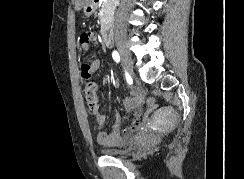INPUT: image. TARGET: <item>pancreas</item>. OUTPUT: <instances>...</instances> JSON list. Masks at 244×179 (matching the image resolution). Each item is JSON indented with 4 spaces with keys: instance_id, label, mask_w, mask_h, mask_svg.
<instances>
[{
    "instance_id": "1",
    "label": "pancreas",
    "mask_w": 244,
    "mask_h": 179,
    "mask_svg": "<svg viewBox=\"0 0 244 179\" xmlns=\"http://www.w3.org/2000/svg\"><path fill=\"white\" fill-rule=\"evenodd\" d=\"M111 4H112L111 0H107V2H103L102 8L100 10L101 12L100 20H106V18H108L110 14V10H112Z\"/></svg>"
}]
</instances>
